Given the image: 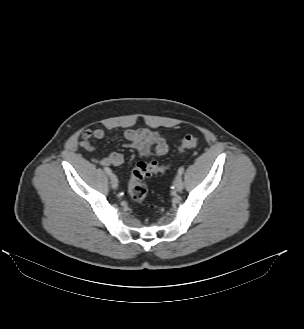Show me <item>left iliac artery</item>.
<instances>
[{
  "instance_id": "left-iliac-artery-1",
  "label": "left iliac artery",
  "mask_w": 304,
  "mask_h": 329,
  "mask_svg": "<svg viewBox=\"0 0 304 329\" xmlns=\"http://www.w3.org/2000/svg\"><path fill=\"white\" fill-rule=\"evenodd\" d=\"M183 172H184V167L181 166V167L178 169V174H179V175H182Z\"/></svg>"
}]
</instances>
